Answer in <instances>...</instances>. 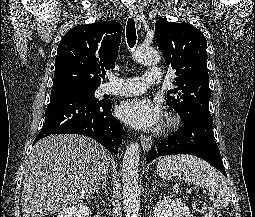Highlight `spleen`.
<instances>
[{
  "instance_id": "spleen-1",
  "label": "spleen",
  "mask_w": 255,
  "mask_h": 217,
  "mask_svg": "<svg viewBox=\"0 0 255 217\" xmlns=\"http://www.w3.org/2000/svg\"><path fill=\"white\" fill-rule=\"evenodd\" d=\"M161 178L171 180L175 172L183 174L190 182L207 188L216 195L213 206L226 208L231 199V190L225 178L205 161L191 155L165 156L157 164Z\"/></svg>"
}]
</instances>
